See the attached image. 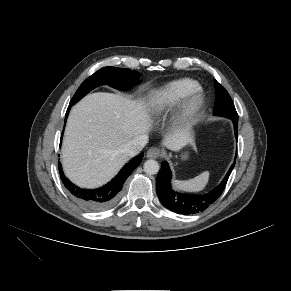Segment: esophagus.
Segmentation results:
<instances>
[{"label":"esophagus","mask_w":291,"mask_h":291,"mask_svg":"<svg viewBox=\"0 0 291 291\" xmlns=\"http://www.w3.org/2000/svg\"><path fill=\"white\" fill-rule=\"evenodd\" d=\"M160 155H161L160 150L158 148H155V147L150 148L146 153V156L148 158H153V159L158 158Z\"/></svg>","instance_id":"1"}]
</instances>
